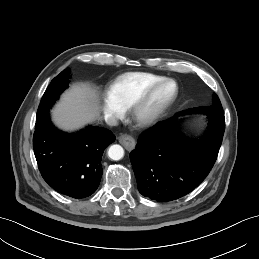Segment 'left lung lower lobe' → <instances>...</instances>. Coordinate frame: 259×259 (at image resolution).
I'll return each mask as SVG.
<instances>
[{
  "mask_svg": "<svg viewBox=\"0 0 259 259\" xmlns=\"http://www.w3.org/2000/svg\"><path fill=\"white\" fill-rule=\"evenodd\" d=\"M194 112L191 109L178 113ZM208 115V114H207ZM209 126L200 140H187L173 119L142 133L130 153L139 192L164 202L193 191L211 171L222 143L225 117L208 115Z\"/></svg>",
  "mask_w": 259,
  "mask_h": 259,
  "instance_id": "obj_1",
  "label": "left lung lower lobe"
}]
</instances>
